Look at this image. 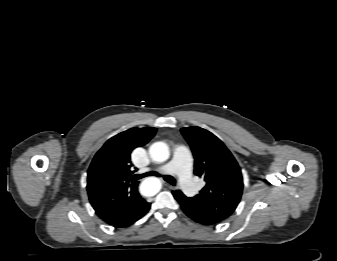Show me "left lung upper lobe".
Segmentation results:
<instances>
[{"label":"left lung upper lobe","mask_w":337,"mask_h":261,"mask_svg":"<svg viewBox=\"0 0 337 261\" xmlns=\"http://www.w3.org/2000/svg\"><path fill=\"white\" fill-rule=\"evenodd\" d=\"M194 158V173L206 185L192 198L182 193L183 200L195 209L222 222L240 202L243 180L241 169L223 142L211 132L200 127L182 128Z\"/></svg>","instance_id":"1"}]
</instances>
